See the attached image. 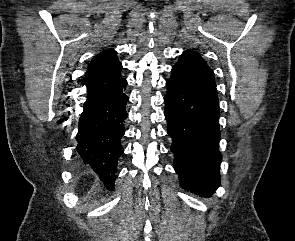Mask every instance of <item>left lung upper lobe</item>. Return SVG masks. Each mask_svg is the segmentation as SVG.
Wrapping results in <instances>:
<instances>
[{"label": "left lung upper lobe", "instance_id": "left-lung-upper-lobe-1", "mask_svg": "<svg viewBox=\"0 0 295 241\" xmlns=\"http://www.w3.org/2000/svg\"><path fill=\"white\" fill-rule=\"evenodd\" d=\"M172 71L197 92L218 100L214 73L198 53L185 51Z\"/></svg>", "mask_w": 295, "mask_h": 241}]
</instances>
